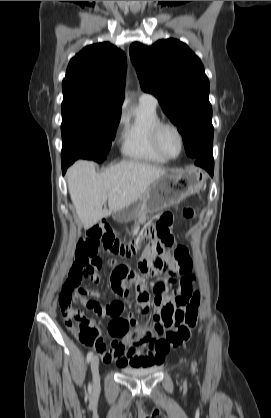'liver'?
Returning <instances> with one entry per match:
<instances>
[{
    "label": "liver",
    "mask_w": 271,
    "mask_h": 418,
    "mask_svg": "<svg viewBox=\"0 0 271 418\" xmlns=\"http://www.w3.org/2000/svg\"><path fill=\"white\" fill-rule=\"evenodd\" d=\"M166 173L158 166L126 160L97 174L93 161L80 160L68 169L67 184L77 215L88 229L135 202ZM106 201L109 209L103 208Z\"/></svg>",
    "instance_id": "1"
}]
</instances>
